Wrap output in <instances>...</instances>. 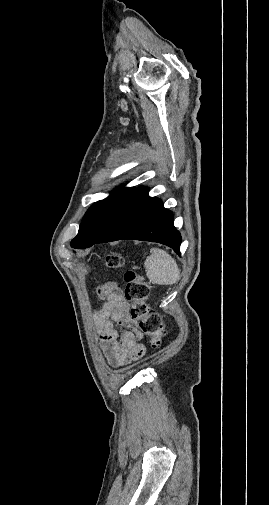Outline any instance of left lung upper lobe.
Returning <instances> with one entry per match:
<instances>
[{
  "label": "left lung upper lobe",
  "mask_w": 269,
  "mask_h": 505,
  "mask_svg": "<svg viewBox=\"0 0 269 505\" xmlns=\"http://www.w3.org/2000/svg\"><path fill=\"white\" fill-rule=\"evenodd\" d=\"M136 188H118L106 199L95 202L85 213L77 236L71 241L73 248L82 249L95 244L110 229Z\"/></svg>",
  "instance_id": "obj_1"
}]
</instances>
